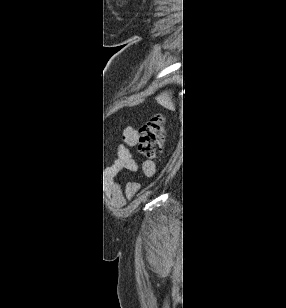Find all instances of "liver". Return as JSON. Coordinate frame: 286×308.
<instances>
[{"label": "liver", "mask_w": 286, "mask_h": 308, "mask_svg": "<svg viewBox=\"0 0 286 308\" xmlns=\"http://www.w3.org/2000/svg\"><path fill=\"white\" fill-rule=\"evenodd\" d=\"M155 99L163 107H165L169 110H175V104L172 100V93L171 92L164 91L163 93L156 96Z\"/></svg>", "instance_id": "liver-1"}]
</instances>
